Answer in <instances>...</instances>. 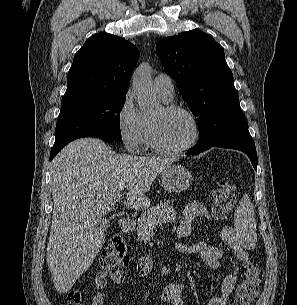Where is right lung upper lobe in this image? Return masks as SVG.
I'll list each match as a JSON object with an SVG mask.
<instances>
[{
  "mask_svg": "<svg viewBox=\"0 0 297 305\" xmlns=\"http://www.w3.org/2000/svg\"><path fill=\"white\" fill-rule=\"evenodd\" d=\"M138 57V49L118 36H91L75 54L62 101L125 95Z\"/></svg>",
  "mask_w": 297,
  "mask_h": 305,
  "instance_id": "1",
  "label": "right lung upper lobe"
}]
</instances>
